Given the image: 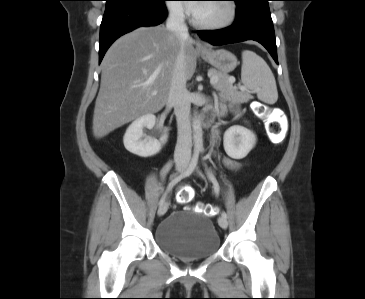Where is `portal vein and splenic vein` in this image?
Segmentation results:
<instances>
[{
	"mask_svg": "<svg viewBox=\"0 0 365 299\" xmlns=\"http://www.w3.org/2000/svg\"><path fill=\"white\" fill-rule=\"evenodd\" d=\"M218 82V78L216 76H211L210 83L215 85ZM153 95H156V92H153Z\"/></svg>",
	"mask_w": 365,
	"mask_h": 299,
	"instance_id": "portal-vein-and-splenic-vein-1",
	"label": "portal vein and splenic vein"
}]
</instances>
